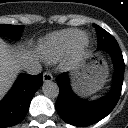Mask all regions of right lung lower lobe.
<instances>
[{
	"mask_svg": "<svg viewBox=\"0 0 128 128\" xmlns=\"http://www.w3.org/2000/svg\"><path fill=\"white\" fill-rule=\"evenodd\" d=\"M42 76L22 74L7 96L0 102V127H8L21 122L35 92L42 85Z\"/></svg>",
	"mask_w": 128,
	"mask_h": 128,
	"instance_id": "1",
	"label": "right lung lower lobe"
}]
</instances>
